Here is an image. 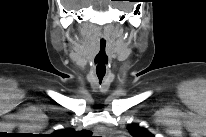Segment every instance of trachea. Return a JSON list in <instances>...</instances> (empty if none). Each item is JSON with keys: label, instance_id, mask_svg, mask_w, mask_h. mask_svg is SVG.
I'll return each mask as SVG.
<instances>
[{"label": "trachea", "instance_id": "obj_1", "mask_svg": "<svg viewBox=\"0 0 206 137\" xmlns=\"http://www.w3.org/2000/svg\"><path fill=\"white\" fill-rule=\"evenodd\" d=\"M101 53H102L103 55H105V46H103L102 44H101V50H100L99 55H100ZM96 61L99 62L98 66H97V69H104V70H106V69H105V60H98V58H96ZM97 75H98V73H97ZM103 77H104V75H98V78H99V81H100V82L102 81Z\"/></svg>", "mask_w": 206, "mask_h": 137}]
</instances>
